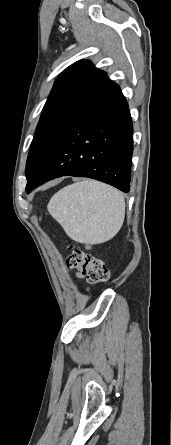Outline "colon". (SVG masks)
I'll return each mask as SVG.
<instances>
[{
    "label": "colon",
    "instance_id": "1",
    "mask_svg": "<svg viewBox=\"0 0 171 445\" xmlns=\"http://www.w3.org/2000/svg\"><path fill=\"white\" fill-rule=\"evenodd\" d=\"M89 246L72 247L66 257V265L69 269L81 272L88 283L93 286L106 282L109 271L104 262L88 251Z\"/></svg>",
    "mask_w": 171,
    "mask_h": 445
}]
</instances>
